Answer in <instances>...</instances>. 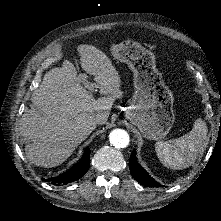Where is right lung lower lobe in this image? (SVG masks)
Here are the masks:
<instances>
[{
    "mask_svg": "<svg viewBox=\"0 0 221 221\" xmlns=\"http://www.w3.org/2000/svg\"><path fill=\"white\" fill-rule=\"evenodd\" d=\"M90 166V150L86 149L81 160L71 167L65 173L60 174L57 177L49 178L46 181L51 182L54 185L68 184L80 179L89 169Z\"/></svg>",
    "mask_w": 221,
    "mask_h": 221,
    "instance_id": "98d812e1",
    "label": "right lung lower lobe"
}]
</instances>
